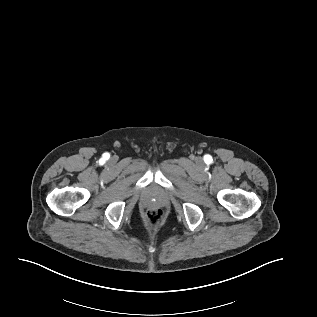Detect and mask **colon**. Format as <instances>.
Returning a JSON list of instances; mask_svg holds the SVG:
<instances>
[{"mask_svg":"<svg viewBox=\"0 0 317 317\" xmlns=\"http://www.w3.org/2000/svg\"><path fill=\"white\" fill-rule=\"evenodd\" d=\"M162 218H163V211L158 208L151 209L146 214L147 221L152 225H156L160 223Z\"/></svg>","mask_w":317,"mask_h":317,"instance_id":"1","label":"colon"}]
</instances>
